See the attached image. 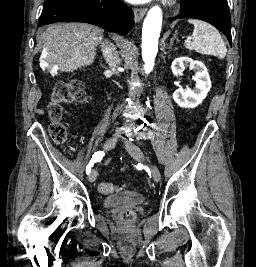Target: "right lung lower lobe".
Listing matches in <instances>:
<instances>
[{
	"mask_svg": "<svg viewBox=\"0 0 256 267\" xmlns=\"http://www.w3.org/2000/svg\"><path fill=\"white\" fill-rule=\"evenodd\" d=\"M84 22L125 35L134 23L133 11L120 0H59L43 8L38 26Z\"/></svg>",
	"mask_w": 256,
	"mask_h": 267,
	"instance_id": "98d812e1",
	"label": "right lung lower lobe"
}]
</instances>
